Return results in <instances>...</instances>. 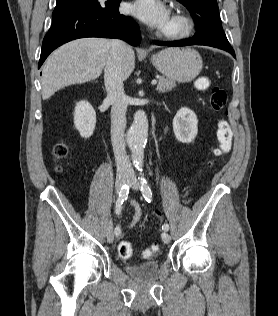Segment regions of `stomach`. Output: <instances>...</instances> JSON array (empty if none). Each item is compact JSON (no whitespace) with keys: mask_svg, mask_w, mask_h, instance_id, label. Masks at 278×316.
<instances>
[{"mask_svg":"<svg viewBox=\"0 0 278 316\" xmlns=\"http://www.w3.org/2000/svg\"><path fill=\"white\" fill-rule=\"evenodd\" d=\"M156 69L169 79L190 82L202 69V58L193 49L167 48L151 57Z\"/></svg>","mask_w":278,"mask_h":316,"instance_id":"stomach-1","label":"stomach"}]
</instances>
